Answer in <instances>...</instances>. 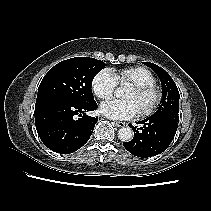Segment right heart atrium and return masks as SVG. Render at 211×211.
I'll list each match as a JSON object with an SVG mask.
<instances>
[{
  "instance_id": "d8ad5b80",
  "label": "right heart atrium",
  "mask_w": 211,
  "mask_h": 211,
  "mask_svg": "<svg viewBox=\"0 0 211 211\" xmlns=\"http://www.w3.org/2000/svg\"><path fill=\"white\" fill-rule=\"evenodd\" d=\"M117 80L112 71L103 69L92 79L91 88L94 95L99 99H109L114 95Z\"/></svg>"
}]
</instances>
